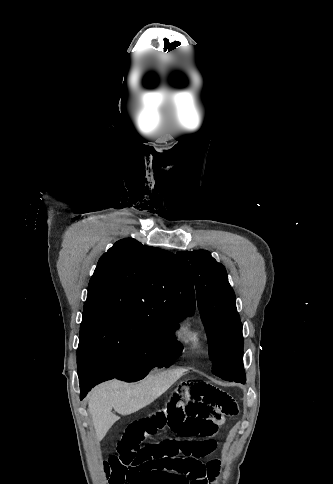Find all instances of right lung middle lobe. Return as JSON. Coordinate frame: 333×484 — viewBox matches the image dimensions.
I'll list each match as a JSON object with an SVG mask.
<instances>
[{"mask_svg": "<svg viewBox=\"0 0 333 484\" xmlns=\"http://www.w3.org/2000/svg\"><path fill=\"white\" fill-rule=\"evenodd\" d=\"M183 316L127 309L83 311L77 354L78 375L101 364L114 377L138 381L154 367H167L181 353L173 330Z\"/></svg>", "mask_w": 333, "mask_h": 484, "instance_id": "right-lung-middle-lobe-1", "label": "right lung middle lobe"}]
</instances>
